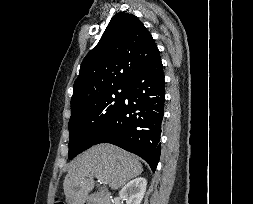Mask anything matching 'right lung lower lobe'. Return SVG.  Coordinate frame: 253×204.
<instances>
[{
	"label": "right lung lower lobe",
	"mask_w": 253,
	"mask_h": 204,
	"mask_svg": "<svg viewBox=\"0 0 253 204\" xmlns=\"http://www.w3.org/2000/svg\"><path fill=\"white\" fill-rule=\"evenodd\" d=\"M165 82L158 49L130 80L118 111L95 144L111 143L143 158L154 172L159 161Z\"/></svg>",
	"instance_id": "1"
}]
</instances>
